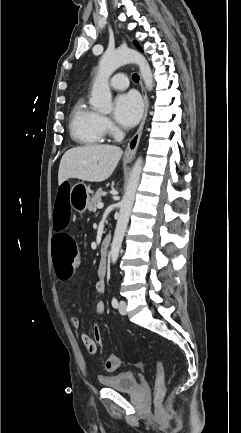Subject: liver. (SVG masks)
<instances>
[{
	"mask_svg": "<svg viewBox=\"0 0 241 433\" xmlns=\"http://www.w3.org/2000/svg\"><path fill=\"white\" fill-rule=\"evenodd\" d=\"M123 151L112 145H90L69 149L62 156L58 183L70 178L88 182L108 179L116 168Z\"/></svg>",
	"mask_w": 241,
	"mask_h": 433,
	"instance_id": "1",
	"label": "liver"
}]
</instances>
